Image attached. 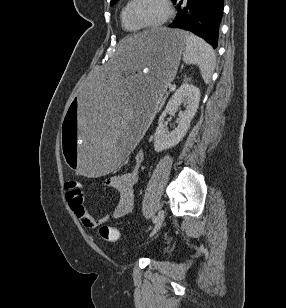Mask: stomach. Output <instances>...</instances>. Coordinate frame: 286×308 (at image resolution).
Masks as SVG:
<instances>
[{
    "instance_id": "1",
    "label": "stomach",
    "mask_w": 286,
    "mask_h": 308,
    "mask_svg": "<svg viewBox=\"0 0 286 308\" xmlns=\"http://www.w3.org/2000/svg\"><path fill=\"white\" fill-rule=\"evenodd\" d=\"M186 40V32L168 28L123 36L106 65L93 69L62 118L61 153L70 173L111 177L130 159L174 80Z\"/></svg>"
}]
</instances>
